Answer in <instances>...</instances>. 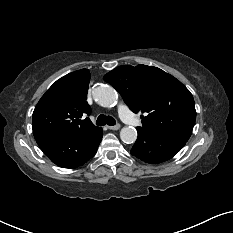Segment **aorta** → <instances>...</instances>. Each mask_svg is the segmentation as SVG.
Here are the masks:
<instances>
[{
  "mask_svg": "<svg viewBox=\"0 0 233 233\" xmlns=\"http://www.w3.org/2000/svg\"><path fill=\"white\" fill-rule=\"evenodd\" d=\"M93 95L98 104L103 107L113 105L117 100L116 90L108 85H101L94 89ZM120 138L126 144H132L137 139V130L132 126L123 127L120 131Z\"/></svg>",
  "mask_w": 233,
  "mask_h": 233,
  "instance_id": "obj_1",
  "label": "aorta"
}]
</instances>
